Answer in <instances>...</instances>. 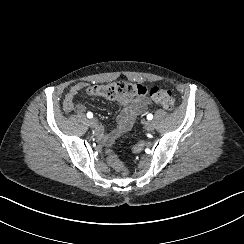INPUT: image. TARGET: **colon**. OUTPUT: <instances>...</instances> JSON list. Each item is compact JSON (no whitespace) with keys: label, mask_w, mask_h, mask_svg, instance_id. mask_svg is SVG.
Segmentation results:
<instances>
[{"label":"colon","mask_w":244,"mask_h":244,"mask_svg":"<svg viewBox=\"0 0 244 244\" xmlns=\"http://www.w3.org/2000/svg\"><path fill=\"white\" fill-rule=\"evenodd\" d=\"M145 86L135 84L129 81H117L111 84H95L88 88L87 93L93 97H103L106 99H115L116 97L127 96H141ZM149 97L151 100L164 108L165 110H172L175 105V98L173 93L164 88L152 87L150 89ZM134 151L137 154H142L145 151V146L142 143H137L134 146ZM101 153L106 157L107 161L112 165L115 172L121 176L129 174L130 169L128 166L123 165V162L115 154L113 148L105 146L102 148Z\"/></svg>","instance_id":"1"}]
</instances>
